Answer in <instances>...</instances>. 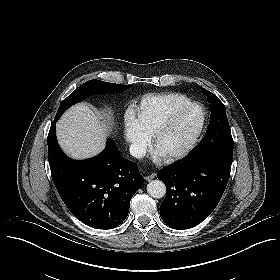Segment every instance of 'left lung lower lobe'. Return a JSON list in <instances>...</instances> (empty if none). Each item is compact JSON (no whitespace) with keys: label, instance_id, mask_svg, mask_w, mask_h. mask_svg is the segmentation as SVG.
I'll return each instance as SVG.
<instances>
[{"label":"left lung lower lobe","instance_id":"left-lung-lower-lobe-1","mask_svg":"<svg viewBox=\"0 0 280 280\" xmlns=\"http://www.w3.org/2000/svg\"><path fill=\"white\" fill-rule=\"evenodd\" d=\"M232 159L223 156L189 158L157 173L166 185L160 206L162 220L184 230L205 220L219 203L229 180Z\"/></svg>","mask_w":280,"mask_h":280}]
</instances>
